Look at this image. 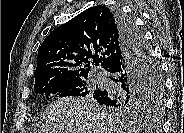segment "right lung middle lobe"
<instances>
[{
    "mask_svg": "<svg viewBox=\"0 0 184 133\" xmlns=\"http://www.w3.org/2000/svg\"><path fill=\"white\" fill-rule=\"evenodd\" d=\"M131 20V19H130ZM138 36L143 37L142 32L136 28ZM145 41V40H144ZM146 53L148 54V67L146 86L142 89L138 97H119L111 104L110 111L117 114L132 113L144 109H154L158 114L163 110L164 104V82L160 66L146 44ZM87 76L82 77H56L40 81L34 85L36 94L45 95L59 93L60 97L65 96H91L98 94L102 89L88 87L86 83Z\"/></svg>",
    "mask_w": 184,
    "mask_h": 133,
    "instance_id": "dd1d6c3e",
    "label": "right lung middle lobe"
}]
</instances>
